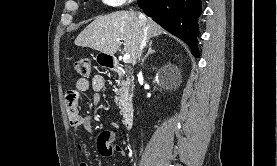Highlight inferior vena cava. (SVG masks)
Here are the masks:
<instances>
[{"instance_id": "602c4592", "label": "inferior vena cava", "mask_w": 277, "mask_h": 166, "mask_svg": "<svg viewBox=\"0 0 277 166\" xmlns=\"http://www.w3.org/2000/svg\"><path fill=\"white\" fill-rule=\"evenodd\" d=\"M139 19L140 20H144L145 19V16L143 14H139ZM143 39H142V42H141V45H140V55L141 56V51L142 49L145 47L146 45V39H147V28H143Z\"/></svg>"}]
</instances>
